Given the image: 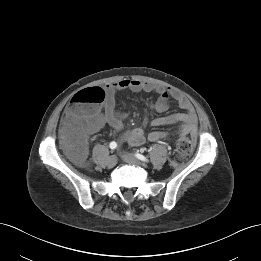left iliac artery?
Returning <instances> with one entry per match:
<instances>
[{"label":"left iliac artery","mask_w":261,"mask_h":261,"mask_svg":"<svg viewBox=\"0 0 261 261\" xmlns=\"http://www.w3.org/2000/svg\"><path fill=\"white\" fill-rule=\"evenodd\" d=\"M135 156H136L139 160H141V161H144V162H148V161H149L144 155H142V154H140V153H136Z\"/></svg>","instance_id":"obj_1"}]
</instances>
